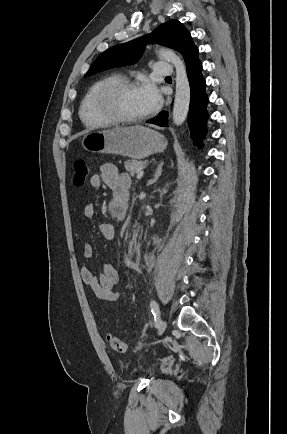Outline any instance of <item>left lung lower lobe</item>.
<instances>
[{
	"instance_id": "1",
	"label": "left lung lower lobe",
	"mask_w": 287,
	"mask_h": 434,
	"mask_svg": "<svg viewBox=\"0 0 287 434\" xmlns=\"http://www.w3.org/2000/svg\"><path fill=\"white\" fill-rule=\"evenodd\" d=\"M187 75L191 88V102L189 110V128L191 137L196 145L203 147V139L206 135V122L208 119L207 104L208 96L205 92V79L202 75V63L198 54L193 55L186 62ZM147 123L158 126H168V112L162 111Z\"/></svg>"
}]
</instances>
